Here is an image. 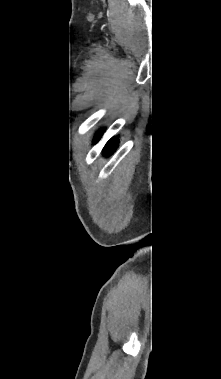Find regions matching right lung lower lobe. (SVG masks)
<instances>
[{
    "mask_svg": "<svg viewBox=\"0 0 221 379\" xmlns=\"http://www.w3.org/2000/svg\"><path fill=\"white\" fill-rule=\"evenodd\" d=\"M117 145H118V142L116 141V139H115V138H112V139L106 144V146H105V148H104V154L109 155V154L113 153V151L116 149Z\"/></svg>",
    "mask_w": 221,
    "mask_h": 379,
    "instance_id": "right-lung-lower-lobe-1",
    "label": "right lung lower lobe"
}]
</instances>
